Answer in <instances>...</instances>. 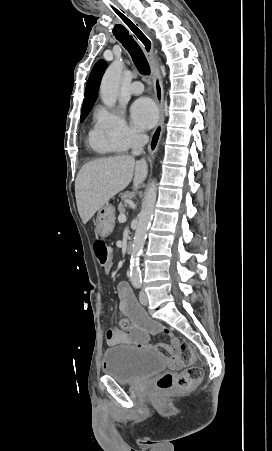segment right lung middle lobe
Instances as JSON below:
<instances>
[{"mask_svg":"<svg viewBox=\"0 0 272 451\" xmlns=\"http://www.w3.org/2000/svg\"><path fill=\"white\" fill-rule=\"evenodd\" d=\"M91 108H82V112H81V121H83L86 116L89 114Z\"/></svg>","mask_w":272,"mask_h":451,"instance_id":"right-lung-middle-lobe-1","label":"right lung middle lobe"}]
</instances>
